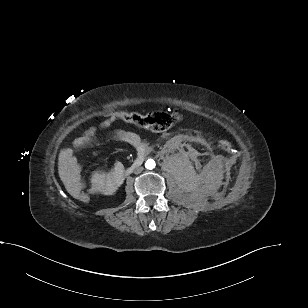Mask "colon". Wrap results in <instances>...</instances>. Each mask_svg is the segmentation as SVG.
Listing matches in <instances>:
<instances>
[{"mask_svg":"<svg viewBox=\"0 0 308 308\" xmlns=\"http://www.w3.org/2000/svg\"><path fill=\"white\" fill-rule=\"evenodd\" d=\"M117 118L122 121L135 124L152 132H164L172 128L179 120V115L176 112L157 111L147 114L135 112H120L117 113ZM219 146L222 150L230 152L232 145L227 140H220ZM74 198L81 203L90 201V194L83 190L74 195Z\"/></svg>","mask_w":308,"mask_h":308,"instance_id":"5ec220e1","label":"colon"}]
</instances>
